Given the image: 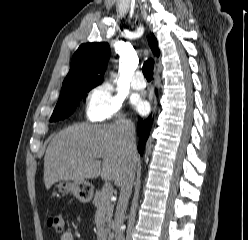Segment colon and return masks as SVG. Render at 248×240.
Instances as JSON below:
<instances>
[{"label": "colon", "instance_id": "5ec220e1", "mask_svg": "<svg viewBox=\"0 0 248 240\" xmlns=\"http://www.w3.org/2000/svg\"><path fill=\"white\" fill-rule=\"evenodd\" d=\"M47 224L56 232H62L64 228L63 216L59 213L52 214L48 217Z\"/></svg>", "mask_w": 248, "mask_h": 240}]
</instances>
